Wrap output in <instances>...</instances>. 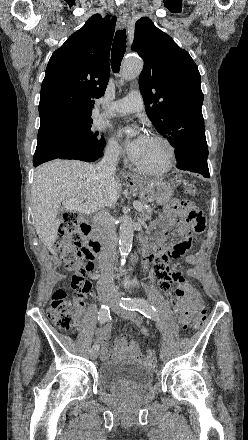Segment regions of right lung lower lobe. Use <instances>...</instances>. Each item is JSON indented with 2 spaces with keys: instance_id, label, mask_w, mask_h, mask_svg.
Returning a JSON list of instances; mask_svg holds the SVG:
<instances>
[{
  "instance_id": "right-lung-lower-lobe-1",
  "label": "right lung lower lobe",
  "mask_w": 248,
  "mask_h": 440,
  "mask_svg": "<svg viewBox=\"0 0 248 440\" xmlns=\"http://www.w3.org/2000/svg\"><path fill=\"white\" fill-rule=\"evenodd\" d=\"M103 156V151L100 154L94 153H74V154H56L49 151H36L33 159V166L38 165L53 160V159H76L86 162H94Z\"/></svg>"
}]
</instances>
